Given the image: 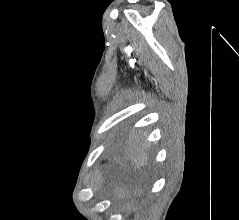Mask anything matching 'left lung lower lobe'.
<instances>
[{
  "label": "left lung lower lobe",
  "mask_w": 239,
  "mask_h": 220,
  "mask_svg": "<svg viewBox=\"0 0 239 220\" xmlns=\"http://www.w3.org/2000/svg\"><path fill=\"white\" fill-rule=\"evenodd\" d=\"M137 145L135 144H131L127 146V150L125 152V156L126 157H130V158H135L138 155V151H137Z\"/></svg>",
  "instance_id": "1"
}]
</instances>
